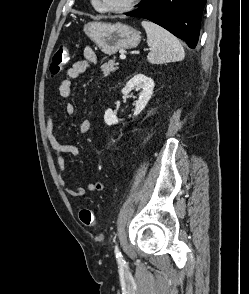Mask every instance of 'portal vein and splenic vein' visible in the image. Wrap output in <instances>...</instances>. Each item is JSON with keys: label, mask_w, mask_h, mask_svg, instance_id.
<instances>
[{"label": "portal vein and splenic vein", "mask_w": 249, "mask_h": 294, "mask_svg": "<svg viewBox=\"0 0 249 294\" xmlns=\"http://www.w3.org/2000/svg\"><path fill=\"white\" fill-rule=\"evenodd\" d=\"M126 58V56L125 55H120V59H125Z\"/></svg>", "instance_id": "portal-vein-and-splenic-vein-1"}]
</instances>
